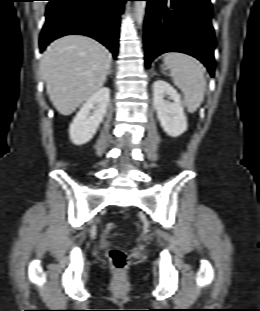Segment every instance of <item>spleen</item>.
<instances>
[{
  "instance_id": "spleen-1",
  "label": "spleen",
  "mask_w": 260,
  "mask_h": 311,
  "mask_svg": "<svg viewBox=\"0 0 260 311\" xmlns=\"http://www.w3.org/2000/svg\"><path fill=\"white\" fill-rule=\"evenodd\" d=\"M164 63L170 70L174 84L183 92V104L188 112L194 113L204 99L206 80L201 63L194 57L171 52L164 56Z\"/></svg>"
}]
</instances>
